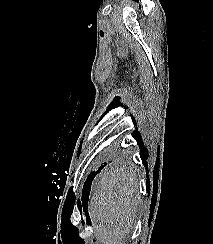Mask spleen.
Returning a JSON list of instances; mask_svg holds the SVG:
<instances>
[{
    "mask_svg": "<svg viewBox=\"0 0 213 244\" xmlns=\"http://www.w3.org/2000/svg\"><path fill=\"white\" fill-rule=\"evenodd\" d=\"M138 185L128 170L100 175L89 205L94 235L103 244H122L133 228L139 205Z\"/></svg>",
    "mask_w": 213,
    "mask_h": 244,
    "instance_id": "3e777b00",
    "label": "spleen"
}]
</instances>
